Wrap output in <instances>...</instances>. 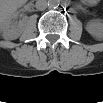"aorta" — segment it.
<instances>
[{
    "instance_id": "762f6f07",
    "label": "aorta",
    "mask_w": 103,
    "mask_h": 103,
    "mask_svg": "<svg viewBox=\"0 0 103 103\" xmlns=\"http://www.w3.org/2000/svg\"><path fill=\"white\" fill-rule=\"evenodd\" d=\"M48 5L51 8H56L59 6V1L58 0H49Z\"/></svg>"
}]
</instances>
